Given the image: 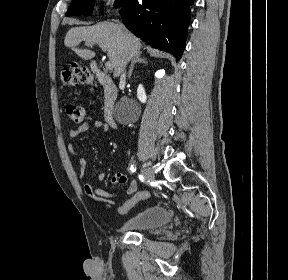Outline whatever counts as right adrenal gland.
<instances>
[{
  "instance_id": "1",
  "label": "right adrenal gland",
  "mask_w": 288,
  "mask_h": 280,
  "mask_svg": "<svg viewBox=\"0 0 288 280\" xmlns=\"http://www.w3.org/2000/svg\"><path fill=\"white\" fill-rule=\"evenodd\" d=\"M136 63L148 64V61H147L146 59L142 58L140 54L135 55V57H134L133 60H132L130 69H129L128 78L131 77L132 72H133L134 65H135Z\"/></svg>"
}]
</instances>
